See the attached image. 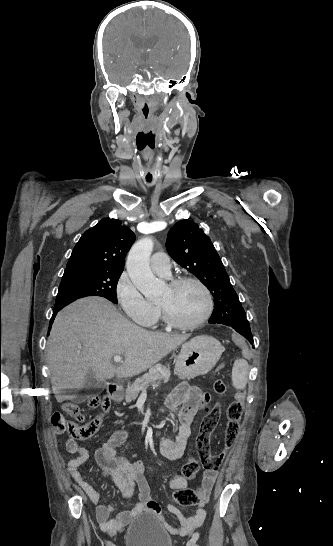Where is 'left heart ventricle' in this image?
<instances>
[{"mask_svg":"<svg viewBox=\"0 0 333 546\" xmlns=\"http://www.w3.org/2000/svg\"><path fill=\"white\" fill-rule=\"evenodd\" d=\"M205 296L195 284L187 283L172 289L169 286L158 301L177 321L191 323L196 321L205 308Z\"/></svg>","mask_w":333,"mask_h":546,"instance_id":"b2bd125f","label":"left heart ventricle"}]
</instances>
